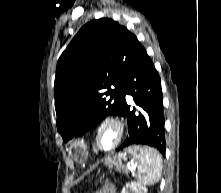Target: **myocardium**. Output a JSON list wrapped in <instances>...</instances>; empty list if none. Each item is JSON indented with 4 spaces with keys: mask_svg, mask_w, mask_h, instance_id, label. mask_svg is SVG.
<instances>
[{
    "mask_svg": "<svg viewBox=\"0 0 221 193\" xmlns=\"http://www.w3.org/2000/svg\"><path fill=\"white\" fill-rule=\"evenodd\" d=\"M108 126L114 128V130L116 132V139H115L114 143L109 148H103L100 144V135H101L102 130ZM124 132H125V125L119 117L114 116V115L105 116L98 123V125L95 129V134H94L95 146L103 152L112 151V150L116 149L119 146V144L121 143V141L124 137Z\"/></svg>",
    "mask_w": 221,
    "mask_h": 193,
    "instance_id": "f54148a6",
    "label": "myocardium"
}]
</instances>
